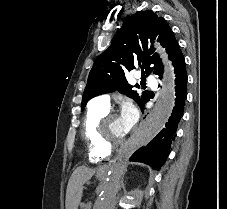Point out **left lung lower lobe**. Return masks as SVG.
<instances>
[{
  "mask_svg": "<svg viewBox=\"0 0 227 209\" xmlns=\"http://www.w3.org/2000/svg\"><path fill=\"white\" fill-rule=\"evenodd\" d=\"M173 66L175 70V106L168 119L165 127L158 135L146 146L137 150L130 158L131 161L143 162L149 164L155 169H159L166 161L170 150L172 140L176 133L177 125L183 115V108L187 96V73L184 56L179 49L174 60ZM162 75H160V79Z\"/></svg>",
  "mask_w": 227,
  "mask_h": 209,
  "instance_id": "obj_1",
  "label": "left lung lower lobe"
}]
</instances>
